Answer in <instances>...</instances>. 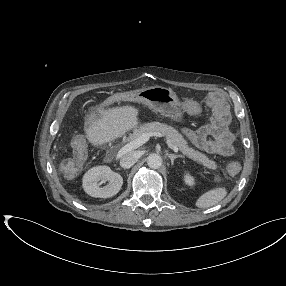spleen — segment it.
<instances>
[{
  "mask_svg": "<svg viewBox=\"0 0 286 286\" xmlns=\"http://www.w3.org/2000/svg\"><path fill=\"white\" fill-rule=\"evenodd\" d=\"M227 195L224 187H217L202 194L196 201L199 208H209L221 202Z\"/></svg>",
  "mask_w": 286,
  "mask_h": 286,
  "instance_id": "3e777b00",
  "label": "spleen"
}]
</instances>
